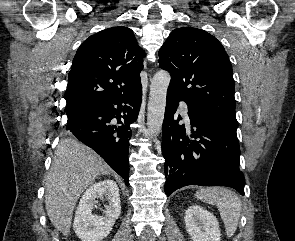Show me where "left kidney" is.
Wrapping results in <instances>:
<instances>
[{
    "mask_svg": "<svg viewBox=\"0 0 295 241\" xmlns=\"http://www.w3.org/2000/svg\"><path fill=\"white\" fill-rule=\"evenodd\" d=\"M185 225L192 241H220L216 217L201 206H190L185 213Z\"/></svg>",
    "mask_w": 295,
    "mask_h": 241,
    "instance_id": "obj_1",
    "label": "left kidney"
}]
</instances>
